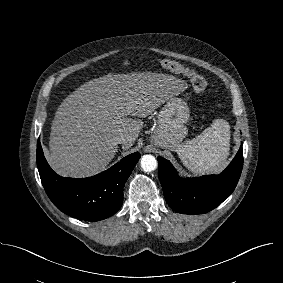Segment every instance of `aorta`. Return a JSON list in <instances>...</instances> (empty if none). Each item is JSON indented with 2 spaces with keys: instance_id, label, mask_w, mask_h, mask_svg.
<instances>
[{
  "instance_id": "obj_1",
  "label": "aorta",
  "mask_w": 283,
  "mask_h": 283,
  "mask_svg": "<svg viewBox=\"0 0 283 283\" xmlns=\"http://www.w3.org/2000/svg\"><path fill=\"white\" fill-rule=\"evenodd\" d=\"M140 165L143 171L151 172L157 168V160L152 155H143L140 160Z\"/></svg>"
}]
</instances>
